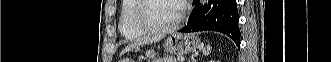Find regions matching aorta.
<instances>
[{
  "instance_id": "aorta-1",
  "label": "aorta",
  "mask_w": 331,
  "mask_h": 62,
  "mask_svg": "<svg viewBox=\"0 0 331 62\" xmlns=\"http://www.w3.org/2000/svg\"><path fill=\"white\" fill-rule=\"evenodd\" d=\"M206 2H208V1H206V0L203 1V3H206Z\"/></svg>"
}]
</instances>
